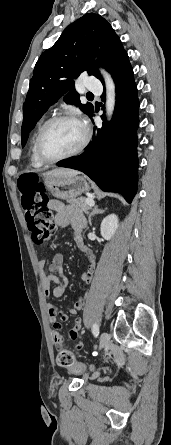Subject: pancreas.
<instances>
[{
  "label": "pancreas",
  "mask_w": 171,
  "mask_h": 445,
  "mask_svg": "<svg viewBox=\"0 0 171 445\" xmlns=\"http://www.w3.org/2000/svg\"><path fill=\"white\" fill-rule=\"evenodd\" d=\"M68 203L69 205L66 207V211L71 221H75L78 217L83 216V213H87L89 210V205L83 197L70 199Z\"/></svg>",
  "instance_id": "pancreas-1"
}]
</instances>
